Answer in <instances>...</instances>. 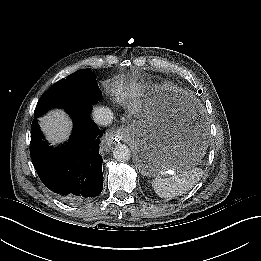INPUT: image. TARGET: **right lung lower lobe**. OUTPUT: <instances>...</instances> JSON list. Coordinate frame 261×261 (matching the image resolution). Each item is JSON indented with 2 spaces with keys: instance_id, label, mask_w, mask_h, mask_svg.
<instances>
[{
  "instance_id": "obj_1",
  "label": "right lung lower lobe",
  "mask_w": 261,
  "mask_h": 261,
  "mask_svg": "<svg viewBox=\"0 0 261 261\" xmlns=\"http://www.w3.org/2000/svg\"><path fill=\"white\" fill-rule=\"evenodd\" d=\"M92 105L67 110L74 126L64 145L43 140L37 120L31 125L30 153L42 183L66 202L78 203L99 195L103 188L101 131L90 118Z\"/></svg>"
}]
</instances>
